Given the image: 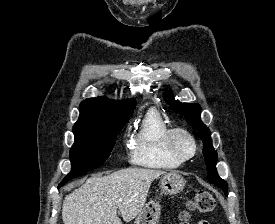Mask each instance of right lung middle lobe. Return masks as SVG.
Listing matches in <instances>:
<instances>
[{
  "label": "right lung middle lobe",
  "instance_id": "right-lung-middle-lobe-1",
  "mask_svg": "<svg viewBox=\"0 0 275 224\" xmlns=\"http://www.w3.org/2000/svg\"><path fill=\"white\" fill-rule=\"evenodd\" d=\"M126 121L104 125L74 127L75 142L70 150L71 172L59 184V188L69 180L99 167L110 155L117 132Z\"/></svg>",
  "mask_w": 275,
  "mask_h": 224
}]
</instances>
